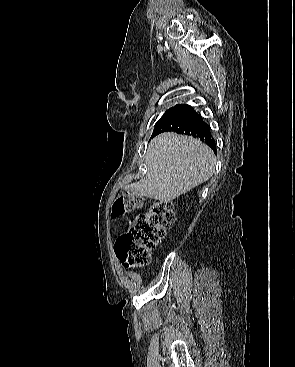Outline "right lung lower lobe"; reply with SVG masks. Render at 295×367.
Instances as JSON below:
<instances>
[{"label": "right lung lower lobe", "instance_id": "98d812e1", "mask_svg": "<svg viewBox=\"0 0 295 367\" xmlns=\"http://www.w3.org/2000/svg\"><path fill=\"white\" fill-rule=\"evenodd\" d=\"M166 131L190 135L206 143L215 153L216 143L211 136L208 125L203 122L200 114L189 105L180 106L155 131L152 137Z\"/></svg>", "mask_w": 295, "mask_h": 367}]
</instances>
